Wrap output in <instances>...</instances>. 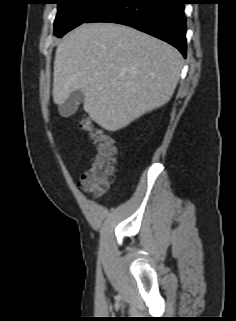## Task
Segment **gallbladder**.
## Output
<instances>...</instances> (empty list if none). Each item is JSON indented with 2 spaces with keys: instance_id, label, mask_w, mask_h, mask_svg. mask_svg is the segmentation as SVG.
<instances>
[{
  "instance_id": "1",
  "label": "gallbladder",
  "mask_w": 236,
  "mask_h": 321,
  "mask_svg": "<svg viewBox=\"0 0 236 321\" xmlns=\"http://www.w3.org/2000/svg\"><path fill=\"white\" fill-rule=\"evenodd\" d=\"M84 101V93L81 90L73 91L69 97L58 107L62 117L68 118L73 115L79 104Z\"/></svg>"
}]
</instances>
